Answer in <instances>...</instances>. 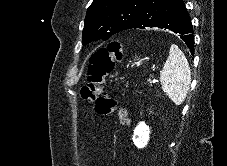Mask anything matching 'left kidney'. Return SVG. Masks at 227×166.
<instances>
[{
  "label": "left kidney",
  "instance_id": "left-kidney-1",
  "mask_svg": "<svg viewBox=\"0 0 227 166\" xmlns=\"http://www.w3.org/2000/svg\"><path fill=\"white\" fill-rule=\"evenodd\" d=\"M150 128L145 122H140L134 130L133 143L137 148H144L149 141Z\"/></svg>",
  "mask_w": 227,
  "mask_h": 166
}]
</instances>
